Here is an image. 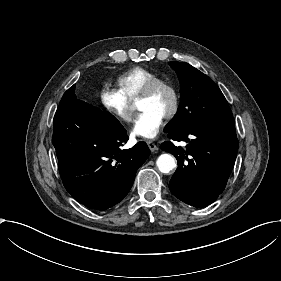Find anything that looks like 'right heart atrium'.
<instances>
[{"label": "right heart atrium", "instance_id": "d8ad5b80", "mask_svg": "<svg viewBox=\"0 0 281 281\" xmlns=\"http://www.w3.org/2000/svg\"><path fill=\"white\" fill-rule=\"evenodd\" d=\"M101 104L108 114L121 123H132L135 118V111L130 102H128L118 91L110 86H104L99 93Z\"/></svg>", "mask_w": 281, "mask_h": 281}]
</instances>
